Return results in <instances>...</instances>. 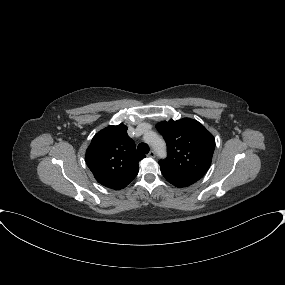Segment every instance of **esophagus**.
Wrapping results in <instances>:
<instances>
[{
  "label": "esophagus",
  "mask_w": 285,
  "mask_h": 285,
  "mask_svg": "<svg viewBox=\"0 0 285 285\" xmlns=\"http://www.w3.org/2000/svg\"><path fill=\"white\" fill-rule=\"evenodd\" d=\"M148 156L151 157V158H155V152L153 150H151L149 153H148Z\"/></svg>",
  "instance_id": "1"
}]
</instances>
